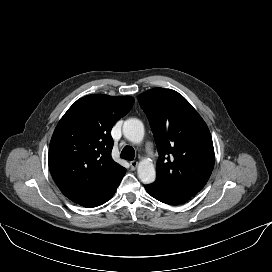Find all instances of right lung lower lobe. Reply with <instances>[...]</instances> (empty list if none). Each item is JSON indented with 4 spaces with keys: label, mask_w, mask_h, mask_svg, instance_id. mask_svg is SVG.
<instances>
[{
    "label": "right lung lower lobe",
    "mask_w": 272,
    "mask_h": 272,
    "mask_svg": "<svg viewBox=\"0 0 272 272\" xmlns=\"http://www.w3.org/2000/svg\"><path fill=\"white\" fill-rule=\"evenodd\" d=\"M125 172H126L125 168L121 169L98 192H96L92 196H90L80 202H77V204L87 207V208H93V207L100 206V205L104 204L109 199H111V197L114 195L116 188L118 187L123 176L125 175Z\"/></svg>",
    "instance_id": "98d812e1"
}]
</instances>
